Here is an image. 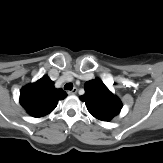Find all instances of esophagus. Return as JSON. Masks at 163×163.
Masks as SVG:
<instances>
[{"instance_id":"obj_1","label":"esophagus","mask_w":163,"mask_h":163,"mask_svg":"<svg viewBox=\"0 0 163 163\" xmlns=\"http://www.w3.org/2000/svg\"><path fill=\"white\" fill-rule=\"evenodd\" d=\"M69 95H75L77 93V88H73L72 90L67 92Z\"/></svg>"}]
</instances>
